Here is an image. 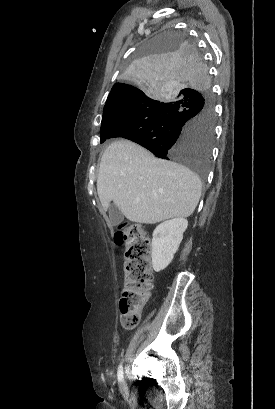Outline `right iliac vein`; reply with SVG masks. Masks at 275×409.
I'll return each instance as SVG.
<instances>
[{
    "instance_id": "obj_1",
    "label": "right iliac vein",
    "mask_w": 275,
    "mask_h": 409,
    "mask_svg": "<svg viewBox=\"0 0 275 409\" xmlns=\"http://www.w3.org/2000/svg\"><path fill=\"white\" fill-rule=\"evenodd\" d=\"M126 385H127V384H126V381H125L124 379H122V380H121V386H122V387H125Z\"/></svg>"
}]
</instances>
